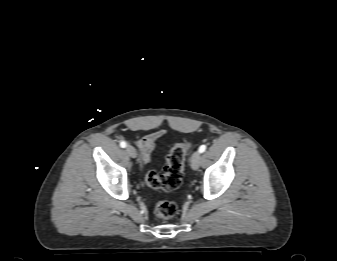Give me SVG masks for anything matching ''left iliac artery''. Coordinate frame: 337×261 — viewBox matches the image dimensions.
I'll return each mask as SVG.
<instances>
[{
  "mask_svg": "<svg viewBox=\"0 0 337 261\" xmlns=\"http://www.w3.org/2000/svg\"><path fill=\"white\" fill-rule=\"evenodd\" d=\"M206 148H207L206 145H201V146L199 147V152H200V153L205 152Z\"/></svg>",
  "mask_w": 337,
  "mask_h": 261,
  "instance_id": "1",
  "label": "left iliac artery"
}]
</instances>
